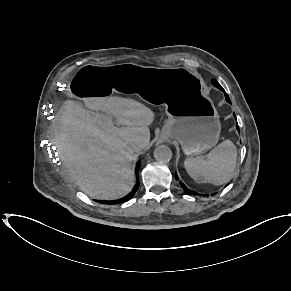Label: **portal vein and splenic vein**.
<instances>
[{
	"instance_id": "obj_1",
	"label": "portal vein and splenic vein",
	"mask_w": 291,
	"mask_h": 291,
	"mask_svg": "<svg viewBox=\"0 0 291 291\" xmlns=\"http://www.w3.org/2000/svg\"><path fill=\"white\" fill-rule=\"evenodd\" d=\"M106 119H107V120H110L111 118H110V117H106Z\"/></svg>"
}]
</instances>
